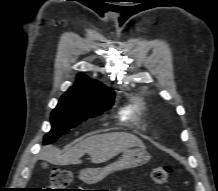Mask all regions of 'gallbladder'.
<instances>
[{
    "instance_id": "1",
    "label": "gallbladder",
    "mask_w": 218,
    "mask_h": 191,
    "mask_svg": "<svg viewBox=\"0 0 218 191\" xmlns=\"http://www.w3.org/2000/svg\"><path fill=\"white\" fill-rule=\"evenodd\" d=\"M42 167H43V168H47V167H48V164L44 162V163H42Z\"/></svg>"
}]
</instances>
